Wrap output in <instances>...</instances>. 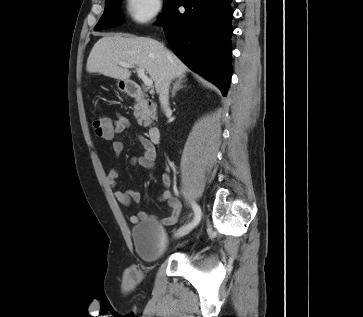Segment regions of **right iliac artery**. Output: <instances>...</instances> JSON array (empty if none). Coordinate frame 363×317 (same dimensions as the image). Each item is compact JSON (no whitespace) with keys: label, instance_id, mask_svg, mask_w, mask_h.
<instances>
[{"label":"right iliac artery","instance_id":"obj_1","mask_svg":"<svg viewBox=\"0 0 363 317\" xmlns=\"http://www.w3.org/2000/svg\"><path fill=\"white\" fill-rule=\"evenodd\" d=\"M192 208H193L194 213H195L194 220H193V222L185 225L186 227L191 228V229L194 228L200 222V219H201V209H200V207L196 203H192Z\"/></svg>","mask_w":363,"mask_h":317}]
</instances>
